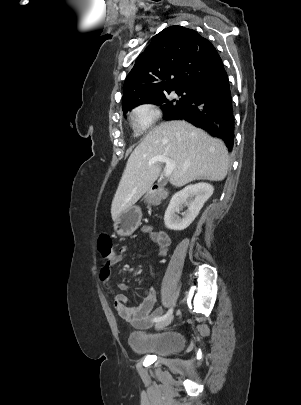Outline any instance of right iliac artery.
Wrapping results in <instances>:
<instances>
[{
  "mask_svg": "<svg viewBox=\"0 0 301 405\" xmlns=\"http://www.w3.org/2000/svg\"><path fill=\"white\" fill-rule=\"evenodd\" d=\"M172 312H173V309L170 308V309L166 312V314H164L163 316L154 318V319H153V322H159V321H162V320H164V319L170 317V316L172 315Z\"/></svg>",
  "mask_w": 301,
  "mask_h": 405,
  "instance_id": "right-iliac-artery-1",
  "label": "right iliac artery"
}]
</instances>
